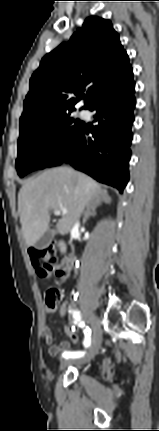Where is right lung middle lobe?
<instances>
[{
    "label": "right lung middle lobe",
    "instance_id": "right-lung-middle-lobe-1",
    "mask_svg": "<svg viewBox=\"0 0 159 431\" xmlns=\"http://www.w3.org/2000/svg\"><path fill=\"white\" fill-rule=\"evenodd\" d=\"M72 111V110H71ZM63 112L20 131L16 168L20 177L47 167L82 121Z\"/></svg>",
    "mask_w": 159,
    "mask_h": 431
}]
</instances>
